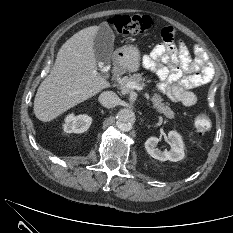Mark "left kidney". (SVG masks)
I'll return each mask as SVG.
<instances>
[{"label": "left kidney", "mask_w": 233, "mask_h": 233, "mask_svg": "<svg viewBox=\"0 0 233 233\" xmlns=\"http://www.w3.org/2000/svg\"><path fill=\"white\" fill-rule=\"evenodd\" d=\"M168 140L171 146V150L161 151L157 148V144L159 143L160 139L157 137H150L145 142V148L148 154L153 157L154 159L160 161H172L177 162L184 158V143L182 140L181 135L176 131H170L168 133Z\"/></svg>", "instance_id": "1"}]
</instances>
